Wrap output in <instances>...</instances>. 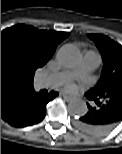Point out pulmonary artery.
I'll return each instance as SVG.
<instances>
[{
  "label": "pulmonary artery",
  "instance_id": "obj_1",
  "mask_svg": "<svg viewBox=\"0 0 122 154\" xmlns=\"http://www.w3.org/2000/svg\"><path fill=\"white\" fill-rule=\"evenodd\" d=\"M101 63L100 55L93 50H88L84 53L81 62L72 70L44 76L36 81L37 88H50L58 86L72 77L83 76L95 70Z\"/></svg>",
  "mask_w": 122,
  "mask_h": 154
}]
</instances>
